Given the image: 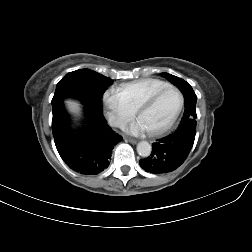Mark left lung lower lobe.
Wrapping results in <instances>:
<instances>
[{
  "label": "left lung lower lobe",
  "mask_w": 252,
  "mask_h": 252,
  "mask_svg": "<svg viewBox=\"0 0 252 252\" xmlns=\"http://www.w3.org/2000/svg\"><path fill=\"white\" fill-rule=\"evenodd\" d=\"M185 110L177 129L166 137L156 140L151 155L139 161L149 173H167L181 166L188 157L196 135V101L193 90L183 91Z\"/></svg>",
  "instance_id": "1"
}]
</instances>
